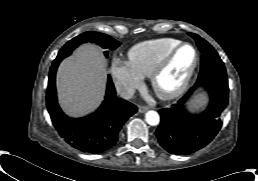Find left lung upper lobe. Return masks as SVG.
Listing matches in <instances>:
<instances>
[{"label":"left lung upper lobe","instance_id":"obj_1","mask_svg":"<svg viewBox=\"0 0 258 181\" xmlns=\"http://www.w3.org/2000/svg\"><path fill=\"white\" fill-rule=\"evenodd\" d=\"M195 41L202 53L201 56V69L198 79L205 77L209 74L226 75L224 63L220 59L215 49L203 38L194 34L188 33Z\"/></svg>","mask_w":258,"mask_h":181}]
</instances>
